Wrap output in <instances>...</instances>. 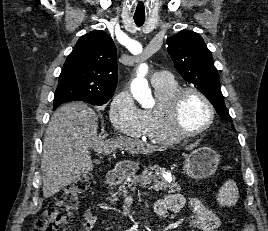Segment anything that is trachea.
I'll return each instance as SVG.
<instances>
[{"instance_id": "3493384b", "label": "trachea", "mask_w": 268, "mask_h": 231, "mask_svg": "<svg viewBox=\"0 0 268 231\" xmlns=\"http://www.w3.org/2000/svg\"><path fill=\"white\" fill-rule=\"evenodd\" d=\"M134 21H135V24L140 27V26H142L144 24L145 19H136V18H134Z\"/></svg>"}]
</instances>
